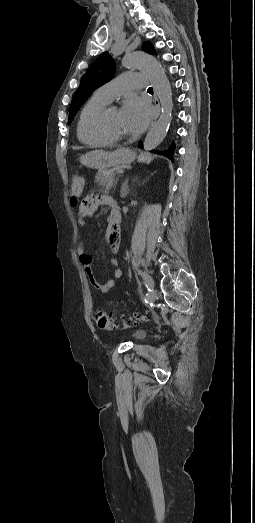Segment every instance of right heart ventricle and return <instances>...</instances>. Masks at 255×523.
I'll list each match as a JSON object with an SVG mask.
<instances>
[{
  "instance_id": "1",
  "label": "right heart ventricle",
  "mask_w": 255,
  "mask_h": 523,
  "mask_svg": "<svg viewBox=\"0 0 255 523\" xmlns=\"http://www.w3.org/2000/svg\"><path fill=\"white\" fill-rule=\"evenodd\" d=\"M111 99L105 97L98 89L85 101L79 113L77 122V136L79 140L90 146L104 145L108 142L94 137L87 129L89 116L98 108L111 103Z\"/></svg>"
}]
</instances>
